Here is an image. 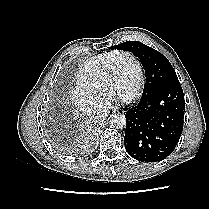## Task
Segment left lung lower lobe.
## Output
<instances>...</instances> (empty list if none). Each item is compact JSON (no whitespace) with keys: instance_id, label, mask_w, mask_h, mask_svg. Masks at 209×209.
Here are the masks:
<instances>
[{"instance_id":"1","label":"left lung lower lobe","mask_w":209,"mask_h":209,"mask_svg":"<svg viewBox=\"0 0 209 209\" xmlns=\"http://www.w3.org/2000/svg\"><path fill=\"white\" fill-rule=\"evenodd\" d=\"M125 114V148L143 162L162 161L179 142L183 130L185 100L179 81L166 83L142 95Z\"/></svg>"}]
</instances>
